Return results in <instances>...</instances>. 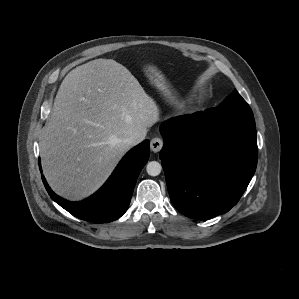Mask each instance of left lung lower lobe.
I'll list each match as a JSON object with an SVG mask.
<instances>
[{"mask_svg": "<svg viewBox=\"0 0 299 299\" xmlns=\"http://www.w3.org/2000/svg\"><path fill=\"white\" fill-rule=\"evenodd\" d=\"M160 159L174 207L193 219L228 212L257 166L254 117L220 119L207 110L161 124Z\"/></svg>", "mask_w": 299, "mask_h": 299, "instance_id": "left-lung-lower-lobe-1", "label": "left lung lower lobe"}]
</instances>
